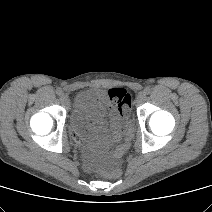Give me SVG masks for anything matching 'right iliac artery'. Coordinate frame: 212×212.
<instances>
[{"label":"right iliac artery","instance_id":"obj_1","mask_svg":"<svg viewBox=\"0 0 212 212\" xmlns=\"http://www.w3.org/2000/svg\"><path fill=\"white\" fill-rule=\"evenodd\" d=\"M56 94L60 96L62 94V89L61 88H57L56 89Z\"/></svg>","mask_w":212,"mask_h":212}]
</instances>
